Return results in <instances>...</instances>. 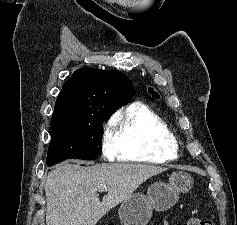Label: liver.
<instances>
[{"label": "liver", "instance_id": "6515ba94", "mask_svg": "<svg viewBox=\"0 0 237 225\" xmlns=\"http://www.w3.org/2000/svg\"><path fill=\"white\" fill-rule=\"evenodd\" d=\"M166 170L148 164L81 166L63 162L45 182L46 225H96L148 178ZM103 185L106 194L100 201L97 191Z\"/></svg>", "mask_w": 237, "mask_h": 225}]
</instances>
